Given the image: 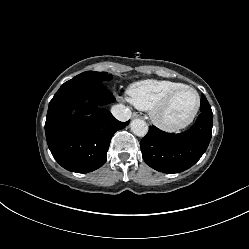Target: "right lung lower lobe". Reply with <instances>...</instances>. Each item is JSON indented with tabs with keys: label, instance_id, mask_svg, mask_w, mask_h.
Here are the masks:
<instances>
[{
	"label": "right lung lower lobe",
	"instance_id": "right-lung-lower-lobe-1",
	"mask_svg": "<svg viewBox=\"0 0 249 249\" xmlns=\"http://www.w3.org/2000/svg\"><path fill=\"white\" fill-rule=\"evenodd\" d=\"M114 100L103 84L88 79L73 78L60 87L49 103L45 132L48 147L62 167L88 173L106 162L112 136L129 123L118 121L102 107ZM76 107L79 112L72 116Z\"/></svg>",
	"mask_w": 249,
	"mask_h": 249
}]
</instances>
